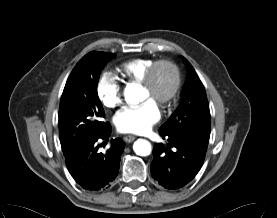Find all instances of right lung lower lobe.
Here are the masks:
<instances>
[{"label": "right lung lower lobe", "instance_id": "right-lung-lower-lobe-1", "mask_svg": "<svg viewBox=\"0 0 277 218\" xmlns=\"http://www.w3.org/2000/svg\"><path fill=\"white\" fill-rule=\"evenodd\" d=\"M111 126L98 137L75 149L66 157V165L78 184L87 190H100L116 178L125 143L112 139L106 152L99 149L106 145ZM104 141V142H102Z\"/></svg>", "mask_w": 277, "mask_h": 218}]
</instances>
